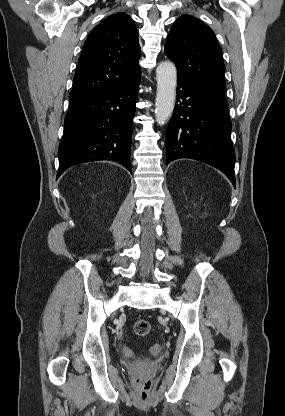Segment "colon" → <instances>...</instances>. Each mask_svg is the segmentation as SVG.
<instances>
[{"instance_id": "1", "label": "colon", "mask_w": 285, "mask_h": 416, "mask_svg": "<svg viewBox=\"0 0 285 416\" xmlns=\"http://www.w3.org/2000/svg\"><path fill=\"white\" fill-rule=\"evenodd\" d=\"M134 333L138 336H146L150 333L151 326L147 320L139 319L133 325ZM132 383L140 405H146L152 396V379L143 373H137L132 378Z\"/></svg>"}]
</instances>
